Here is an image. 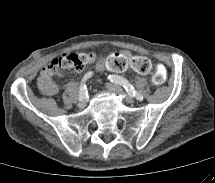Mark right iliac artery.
<instances>
[{"instance_id":"right-iliac-artery-1","label":"right iliac artery","mask_w":215,"mask_h":183,"mask_svg":"<svg viewBox=\"0 0 215 183\" xmlns=\"http://www.w3.org/2000/svg\"><path fill=\"white\" fill-rule=\"evenodd\" d=\"M92 72H88L84 75L83 79H82V84L80 86V90H79V100L84 99L87 96V87L84 84L85 81L90 78L92 76Z\"/></svg>"}]
</instances>
